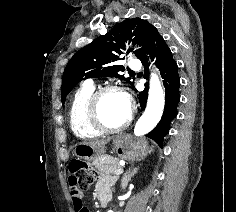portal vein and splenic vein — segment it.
<instances>
[{"label": "portal vein and splenic vein", "mask_w": 236, "mask_h": 212, "mask_svg": "<svg viewBox=\"0 0 236 212\" xmlns=\"http://www.w3.org/2000/svg\"><path fill=\"white\" fill-rule=\"evenodd\" d=\"M123 171H124V170L121 168V169L116 170V171L114 172V174H115V175H120V174L123 173Z\"/></svg>", "instance_id": "1"}]
</instances>
